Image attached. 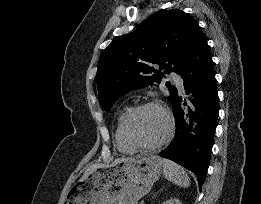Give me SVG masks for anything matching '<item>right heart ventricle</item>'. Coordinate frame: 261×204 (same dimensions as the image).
I'll use <instances>...</instances> for the list:
<instances>
[{"instance_id":"e07e8e85","label":"right heart ventricle","mask_w":261,"mask_h":204,"mask_svg":"<svg viewBox=\"0 0 261 204\" xmlns=\"http://www.w3.org/2000/svg\"><path fill=\"white\" fill-rule=\"evenodd\" d=\"M130 109L128 106H124L121 111L119 112L116 123H115V129H114V139L117 149L124 154H131L135 151L131 146H129L123 139L122 133H121V123L122 120L127 113V111Z\"/></svg>"}]
</instances>
